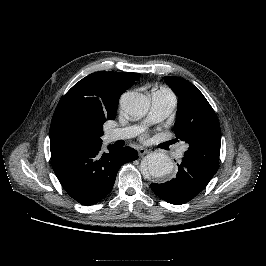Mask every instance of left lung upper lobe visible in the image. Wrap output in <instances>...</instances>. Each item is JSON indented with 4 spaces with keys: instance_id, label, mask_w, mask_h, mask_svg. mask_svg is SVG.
<instances>
[{
    "instance_id": "5c2ea615",
    "label": "left lung upper lobe",
    "mask_w": 266,
    "mask_h": 266,
    "mask_svg": "<svg viewBox=\"0 0 266 266\" xmlns=\"http://www.w3.org/2000/svg\"><path fill=\"white\" fill-rule=\"evenodd\" d=\"M167 85L178 93L174 131L189 144L185 159L216 173L219 167L221 131L219 120L204 95L189 81L165 76Z\"/></svg>"
}]
</instances>
